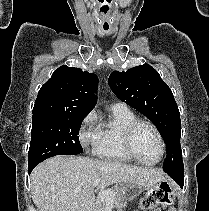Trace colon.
I'll return each instance as SVG.
<instances>
[{"label": "colon", "instance_id": "1", "mask_svg": "<svg viewBox=\"0 0 209 211\" xmlns=\"http://www.w3.org/2000/svg\"><path fill=\"white\" fill-rule=\"evenodd\" d=\"M170 200V188L168 185H162L159 188L149 192L142 200L144 207H153Z\"/></svg>", "mask_w": 209, "mask_h": 211}]
</instances>
